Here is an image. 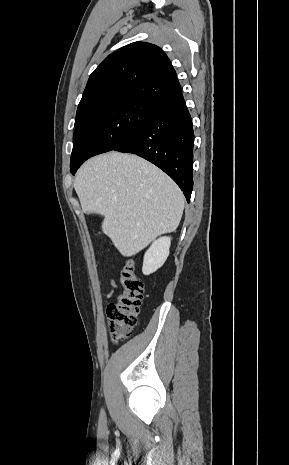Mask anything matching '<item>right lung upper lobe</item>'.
<instances>
[{
  "instance_id": "1",
  "label": "right lung upper lobe",
  "mask_w": 289,
  "mask_h": 465,
  "mask_svg": "<svg viewBox=\"0 0 289 465\" xmlns=\"http://www.w3.org/2000/svg\"><path fill=\"white\" fill-rule=\"evenodd\" d=\"M180 92L176 72L164 51L146 42L131 43L110 54L90 75L75 124L121 101L159 103Z\"/></svg>"
}]
</instances>
